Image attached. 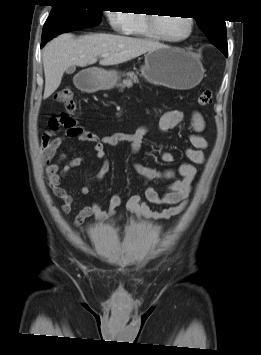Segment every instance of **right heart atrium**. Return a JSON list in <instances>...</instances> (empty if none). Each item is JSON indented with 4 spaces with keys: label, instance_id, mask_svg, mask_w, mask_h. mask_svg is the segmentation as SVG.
Wrapping results in <instances>:
<instances>
[{
    "label": "right heart atrium",
    "instance_id": "obj_1",
    "mask_svg": "<svg viewBox=\"0 0 261 355\" xmlns=\"http://www.w3.org/2000/svg\"><path fill=\"white\" fill-rule=\"evenodd\" d=\"M108 21L114 31L127 33L131 23L130 13L126 10H109L107 12Z\"/></svg>",
    "mask_w": 261,
    "mask_h": 355
}]
</instances>
